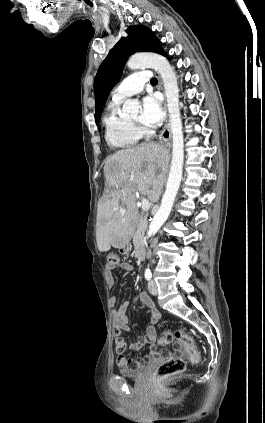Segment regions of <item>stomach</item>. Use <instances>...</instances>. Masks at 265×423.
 Instances as JSON below:
<instances>
[{"label": "stomach", "instance_id": "1", "mask_svg": "<svg viewBox=\"0 0 265 423\" xmlns=\"http://www.w3.org/2000/svg\"><path fill=\"white\" fill-rule=\"evenodd\" d=\"M128 245L127 240L121 241L119 244V248H122L126 251V246Z\"/></svg>", "mask_w": 265, "mask_h": 423}]
</instances>
